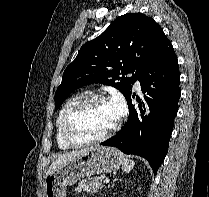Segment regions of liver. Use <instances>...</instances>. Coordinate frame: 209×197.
<instances>
[{
    "mask_svg": "<svg viewBox=\"0 0 209 197\" xmlns=\"http://www.w3.org/2000/svg\"><path fill=\"white\" fill-rule=\"evenodd\" d=\"M90 150V148H85L79 151H72V152H67L61 156H59L58 158H56V160H54L51 165L49 166L46 175H50L56 168H58L59 166H62L64 164H66L67 162H69L70 160L76 158L79 155H82L86 152H88Z\"/></svg>",
    "mask_w": 209,
    "mask_h": 197,
    "instance_id": "liver-1",
    "label": "liver"
}]
</instances>
